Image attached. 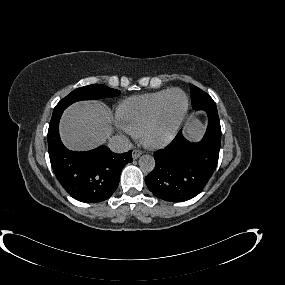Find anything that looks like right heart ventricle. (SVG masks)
Instances as JSON below:
<instances>
[{
  "label": "right heart ventricle",
  "instance_id": "e07e8e85",
  "mask_svg": "<svg viewBox=\"0 0 285 285\" xmlns=\"http://www.w3.org/2000/svg\"><path fill=\"white\" fill-rule=\"evenodd\" d=\"M170 90L166 89L125 99L118 110L125 127L135 134H140L145 125L154 117Z\"/></svg>",
  "mask_w": 285,
  "mask_h": 285
}]
</instances>
